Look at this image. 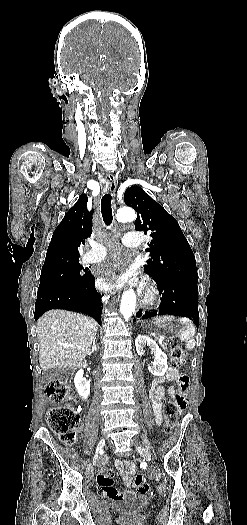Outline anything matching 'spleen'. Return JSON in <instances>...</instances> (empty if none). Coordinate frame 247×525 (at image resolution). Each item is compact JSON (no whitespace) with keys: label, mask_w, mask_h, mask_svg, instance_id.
<instances>
[{"label":"spleen","mask_w":247,"mask_h":525,"mask_svg":"<svg viewBox=\"0 0 247 525\" xmlns=\"http://www.w3.org/2000/svg\"><path fill=\"white\" fill-rule=\"evenodd\" d=\"M173 319H175V317H169V315H165V317H156L154 321H156V323H160L161 325V323H165V321H173ZM180 321L182 329L180 331L179 339L181 343H184L188 351H192V349L195 347V339H193L196 333L195 325H193L192 321L187 319V317H182Z\"/></svg>","instance_id":"spleen-1"}]
</instances>
